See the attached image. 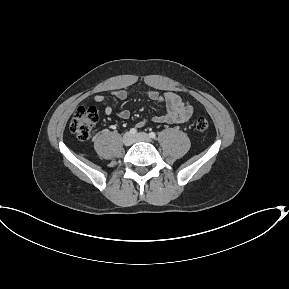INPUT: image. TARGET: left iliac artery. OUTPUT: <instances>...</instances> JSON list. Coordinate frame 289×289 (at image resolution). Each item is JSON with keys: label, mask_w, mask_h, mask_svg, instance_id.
I'll use <instances>...</instances> for the list:
<instances>
[{"label": "left iliac artery", "mask_w": 289, "mask_h": 289, "mask_svg": "<svg viewBox=\"0 0 289 289\" xmlns=\"http://www.w3.org/2000/svg\"><path fill=\"white\" fill-rule=\"evenodd\" d=\"M150 138L155 139L156 138V134L154 132H150L149 133Z\"/></svg>", "instance_id": "1"}]
</instances>
